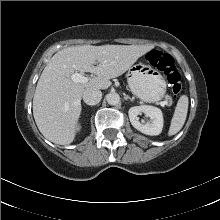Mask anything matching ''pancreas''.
I'll use <instances>...</instances> for the list:
<instances>
[{"label": "pancreas", "mask_w": 220, "mask_h": 220, "mask_svg": "<svg viewBox=\"0 0 220 220\" xmlns=\"http://www.w3.org/2000/svg\"><path fill=\"white\" fill-rule=\"evenodd\" d=\"M167 99H168L169 102L171 101V98H170V97H168Z\"/></svg>", "instance_id": "cf45deb5"}]
</instances>
